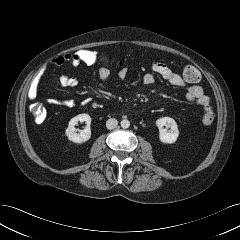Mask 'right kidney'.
Segmentation results:
<instances>
[{"instance_id":"obj_1","label":"right kidney","mask_w":240,"mask_h":240,"mask_svg":"<svg viewBox=\"0 0 240 240\" xmlns=\"http://www.w3.org/2000/svg\"><path fill=\"white\" fill-rule=\"evenodd\" d=\"M85 122L86 127L84 130H80L79 133H77V130L75 129V126L78 124V122ZM91 117L88 114H79L75 117H73L68 124V127L65 131L66 136L68 139L74 143L82 144L88 141L91 138Z\"/></svg>"}]
</instances>
